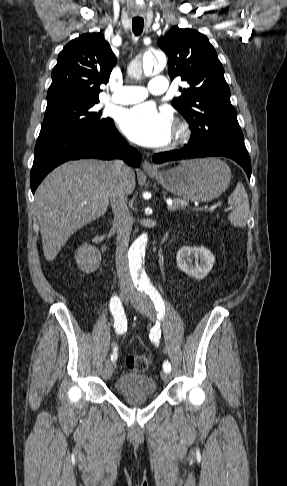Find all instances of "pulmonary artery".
Instances as JSON below:
<instances>
[{"mask_svg": "<svg viewBox=\"0 0 287 486\" xmlns=\"http://www.w3.org/2000/svg\"><path fill=\"white\" fill-rule=\"evenodd\" d=\"M167 88V79L163 76H157L151 79L147 88L141 86L118 87L111 100L118 104H133L144 100L149 94H162Z\"/></svg>", "mask_w": 287, "mask_h": 486, "instance_id": "obj_1", "label": "pulmonary artery"}]
</instances>
